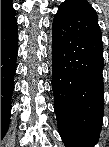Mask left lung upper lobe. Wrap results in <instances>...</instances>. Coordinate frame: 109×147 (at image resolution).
<instances>
[{
  "instance_id": "left-lung-upper-lobe-1",
  "label": "left lung upper lobe",
  "mask_w": 109,
  "mask_h": 147,
  "mask_svg": "<svg viewBox=\"0 0 109 147\" xmlns=\"http://www.w3.org/2000/svg\"><path fill=\"white\" fill-rule=\"evenodd\" d=\"M65 2L71 3L75 6L83 9L84 11L88 12L89 14L94 16L95 18H97V14H96L95 10L92 8V6L86 0H66ZM71 84H73V81L71 82Z\"/></svg>"
}]
</instances>
